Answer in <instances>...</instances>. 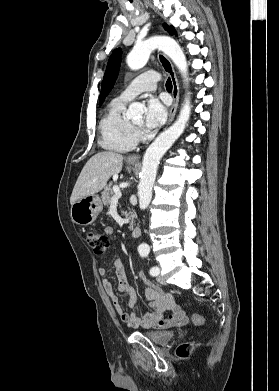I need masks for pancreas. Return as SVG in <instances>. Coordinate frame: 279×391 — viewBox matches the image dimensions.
Masks as SVG:
<instances>
[{
	"instance_id": "pancreas-1",
	"label": "pancreas",
	"mask_w": 279,
	"mask_h": 391,
	"mask_svg": "<svg viewBox=\"0 0 279 391\" xmlns=\"http://www.w3.org/2000/svg\"><path fill=\"white\" fill-rule=\"evenodd\" d=\"M114 188L109 185L104 188V190L101 193L102 202L105 206H109L111 203V198L114 196ZM122 215L125 216V219L127 221H133V215L132 213H125L122 212Z\"/></svg>"
}]
</instances>
